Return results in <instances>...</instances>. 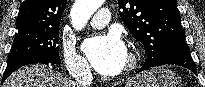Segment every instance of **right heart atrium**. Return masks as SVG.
<instances>
[{
  "mask_svg": "<svg viewBox=\"0 0 205 87\" xmlns=\"http://www.w3.org/2000/svg\"><path fill=\"white\" fill-rule=\"evenodd\" d=\"M62 53L65 67L72 77L90 75L91 69L87 60L77 52L75 44L72 41H63Z\"/></svg>",
  "mask_w": 205,
  "mask_h": 87,
  "instance_id": "obj_1",
  "label": "right heart atrium"
}]
</instances>
